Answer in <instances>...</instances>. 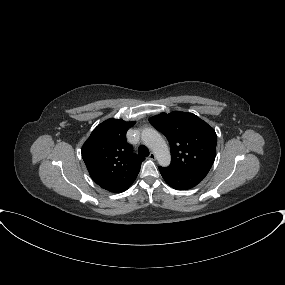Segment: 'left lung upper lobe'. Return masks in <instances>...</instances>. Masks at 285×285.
<instances>
[{
    "label": "left lung upper lobe",
    "mask_w": 285,
    "mask_h": 285,
    "mask_svg": "<svg viewBox=\"0 0 285 285\" xmlns=\"http://www.w3.org/2000/svg\"><path fill=\"white\" fill-rule=\"evenodd\" d=\"M169 141L171 164L181 172L208 173L216 156L217 136L212 127L192 113L174 111L149 119Z\"/></svg>",
    "instance_id": "5c2ea615"
}]
</instances>
